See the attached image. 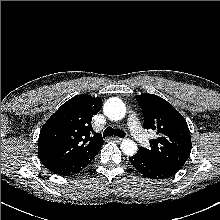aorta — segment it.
Here are the masks:
<instances>
[{
    "label": "aorta",
    "instance_id": "762f6f07",
    "mask_svg": "<svg viewBox=\"0 0 220 220\" xmlns=\"http://www.w3.org/2000/svg\"><path fill=\"white\" fill-rule=\"evenodd\" d=\"M103 111L110 120L117 121L124 118L126 114V107L120 99L110 98L104 104ZM120 148L124 154L129 156L136 154L138 150L137 144L130 139H125L122 141Z\"/></svg>",
    "mask_w": 220,
    "mask_h": 220
}]
</instances>
